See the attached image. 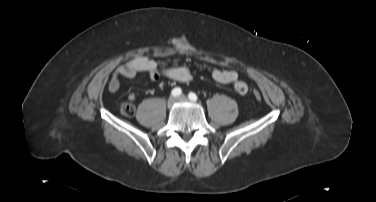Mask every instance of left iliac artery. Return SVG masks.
I'll return each mask as SVG.
<instances>
[{"mask_svg": "<svg viewBox=\"0 0 376 202\" xmlns=\"http://www.w3.org/2000/svg\"><path fill=\"white\" fill-rule=\"evenodd\" d=\"M189 99L193 102L197 101L198 100V97L195 93L193 92H190L189 95H188Z\"/></svg>", "mask_w": 376, "mask_h": 202, "instance_id": "left-iliac-artery-1", "label": "left iliac artery"}]
</instances>
